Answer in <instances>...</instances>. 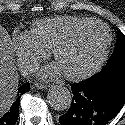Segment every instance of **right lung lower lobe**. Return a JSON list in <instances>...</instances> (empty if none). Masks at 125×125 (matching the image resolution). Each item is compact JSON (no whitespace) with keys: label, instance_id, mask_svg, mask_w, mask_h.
<instances>
[{"label":"right lung lower lobe","instance_id":"1","mask_svg":"<svg viewBox=\"0 0 125 125\" xmlns=\"http://www.w3.org/2000/svg\"><path fill=\"white\" fill-rule=\"evenodd\" d=\"M30 90L29 82H26L24 85L18 88V95H22ZM20 101L17 98L16 101L12 104L10 109L5 115L0 116V125H15L18 119V105Z\"/></svg>","mask_w":125,"mask_h":125}]
</instances>
